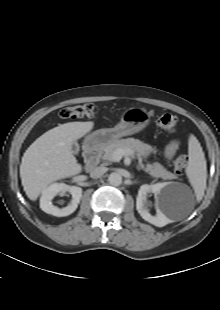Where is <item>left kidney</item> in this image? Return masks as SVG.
I'll return each mask as SVG.
<instances>
[{
    "instance_id": "obj_1",
    "label": "left kidney",
    "mask_w": 220,
    "mask_h": 310,
    "mask_svg": "<svg viewBox=\"0 0 220 310\" xmlns=\"http://www.w3.org/2000/svg\"><path fill=\"white\" fill-rule=\"evenodd\" d=\"M167 186L168 183L144 184L140 187L136 199V208L139 214L145 221L157 227H163L169 222V218L165 213L166 208L170 204V198L168 196L170 188ZM149 193H154L155 195L156 216H152L148 211L147 195Z\"/></svg>"
}]
</instances>
